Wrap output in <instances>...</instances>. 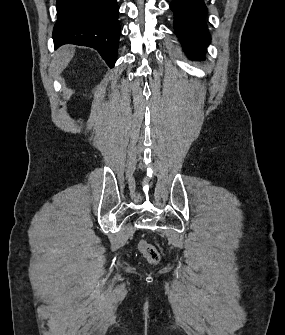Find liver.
<instances>
[{"label": "liver", "instance_id": "liver-1", "mask_svg": "<svg viewBox=\"0 0 285 335\" xmlns=\"http://www.w3.org/2000/svg\"><path fill=\"white\" fill-rule=\"evenodd\" d=\"M74 52L75 50L72 46H62V48H59L58 52H56L57 60L54 66V70H57V74H61V72L65 70L69 62H71Z\"/></svg>", "mask_w": 285, "mask_h": 335}]
</instances>
